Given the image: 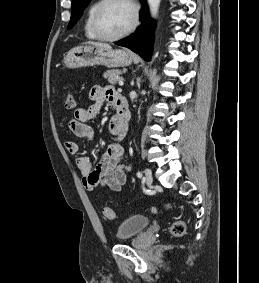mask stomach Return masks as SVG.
Segmentation results:
<instances>
[{"label": "stomach", "mask_w": 259, "mask_h": 283, "mask_svg": "<svg viewBox=\"0 0 259 283\" xmlns=\"http://www.w3.org/2000/svg\"><path fill=\"white\" fill-rule=\"evenodd\" d=\"M133 61V55L125 49H112L83 45L73 48L65 57L68 68H79L94 65H104L109 68L128 66Z\"/></svg>", "instance_id": "0dacf381"}]
</instances>
